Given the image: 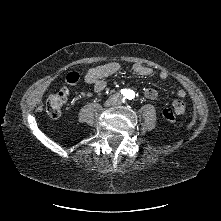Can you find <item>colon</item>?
I'll return each instance as SVG.
<instances>
[{
	"mask_svg": "<svg viewBox=\"0 0 221 221\" xmlns=\"http://www.w3.org/2000/svg\"><path fill=\"white\" fill-rule=\"evenodd\" d=\"M69 83H75L79 79V74L76 71H71L66 77ZM68 91L66 88H61L55 93L51 94L46 102V112L51 117H58L61 112L62 106L65 104L67 99ZM185 109L182 107L166 108L163 111L164 117L169 121H174L176 115L184 114Z\"/></svg>",
	"mask_w": 221,
	"mask_h": 221,
	"instance_id": "colon-1",
	"label": "colon"
}]
</instances>
